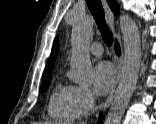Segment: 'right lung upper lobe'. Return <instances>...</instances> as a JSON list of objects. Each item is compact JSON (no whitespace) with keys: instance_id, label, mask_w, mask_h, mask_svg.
<instances>
[{"instance_id":"cb5924a9","label":"right lung upper lobe","mask_w":156,"mask_h":124,"mask_svg":"<svg viewBox=\"0 0 156 124\" xmlns=\"http://www.w3.org/2000/svg\"><path fill=\"white\" fill-rule=\"evenodd\" d=\"M107 1L110 5L111 9L113 10V12L115 14H119V6H118L117 2L115 0H107ZM58 48H59V42H58V39L56 38L54 41V44H53L51 54L47 61L46 67L44 69L43 76L50 75L52 73L54 61H55V58L58 53Z\"/></svg>"}]
</instances>
